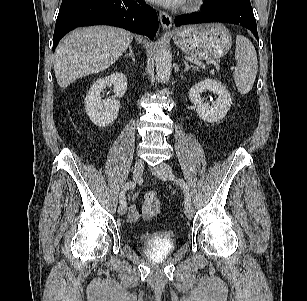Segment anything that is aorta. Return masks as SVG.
I'll list each match as a JSON object with an SVG mask.
<instances>
[{"label": "aorta", "instance_id": "762f6f07", "mask_svg": "<svg viewBox=\"0 0 307 301\" xmlns=\"http://www.w3.org/2000/svg\"><path fill=\"white\" fill-rule=\"evenodd\" d=\"M156 73L160 81H169L172 69V55L164 42H159L155 57Z\"/></svg>", "mask_w": 307, "mask_h": 301}]
</instances>
